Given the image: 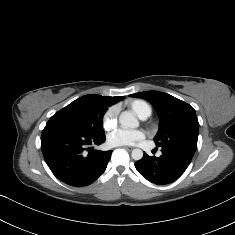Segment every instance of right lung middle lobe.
<instances>
[{
  "instance_id": "right-lung-middle-lobe-1",
  "label": "right lung middle lobe",
  "mask_w": 235,
  "mask_h": 235,
  "mask_svg": "<svg viewBox=\"0 0 235 235\" xmlns=\"http://www.w3.org/2000/svg\"><path fill=\"white\" fill-rule=\"evenodd\" d=\"M105 112L96 111L75 100L55 113L50 122H59L96 137L105 136L102 119Z\"/></svg>"
}]
</instances>
